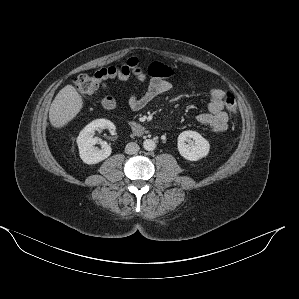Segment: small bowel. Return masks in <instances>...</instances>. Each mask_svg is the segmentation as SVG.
Masks as SVG:
<instances>
[{"instance_id":"c3829d8e","label":"small bowel","mask_w":299,"mask_h":299,"mask_svg":"<svg viewBox=\"0 0 299 299\" xmlns=\"http://www.w3.org/2000/svg\"><path fill=\"white\" fill-rule=\"evenodd\" d=\"M117 77L126 81L134 75L141 83L147 84L146 89L138 94L132 95L128 105L133 110H140L148 106L156 97L167 92L171 88L169 78L174 75L173 69L159 62L151 63L147 70H143L137 58H130L125 64L115 67ZM191 88L196 85L189 82ZM226 92L220 88H212L209 91L208 112L197 116L200 124L211 128L214 132L222 133L228 129V115L224 111V98ZM99 103L106 109L112 110L117 107V102L112 96L99 98Z\"/></svg>"}]
</instances>
